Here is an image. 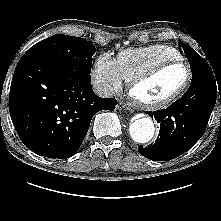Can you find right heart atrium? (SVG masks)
I'll use <instances>...</instances> for the list:
<instances>
[{
    "label": "right heart atrium",
    "instance_id": "1",
    "mask_svg": "<svg viewBox=\"0 0 221 221\" xmlns=\"http://www.w3.org/2000/svg\"><path fill=\"white\" fill-rule=\"evenodd\" d=\"M92 81L101 89H112L120 91L123 85V78L119 73L117 62L110 54H100L94 64Z\"/></svg>",
    "mask_w": 221,
    "mask_h": 221
}]
</instances>
